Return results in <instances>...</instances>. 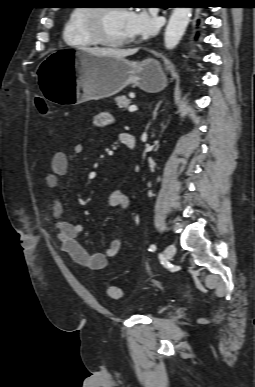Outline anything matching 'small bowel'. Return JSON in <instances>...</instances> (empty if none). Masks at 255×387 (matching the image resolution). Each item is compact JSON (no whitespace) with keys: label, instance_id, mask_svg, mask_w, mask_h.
<instances>
[{"label":"small bowel","instance_id":"1","mask_svg":"<svg viewBox=\"0 0 255 387\" xmlns=\"http://www.w3.org/2000/svg\"><path fill=\"white\" fill-rule=\"evenodd\" d=\"M113 122L114 117L109 113H101L94 118V124L98 127H106ZM83 151V145L76 144L70 153L56 152L51 158L50 172L45 176V183L54 193L52 199L53 227L60 242L61 250L82 267L91 270H102L108 265L109 259L116 256L119 252L122 246V239L120 237L113 239L104 252H88L77 240L84 230L83 225L75 220L63 218L64 205L58 194L60 189L59 177L67 173L69 164L80 156ZM108 203L112 207H128L129 199L122 186H116L109 192Z\"/></svg>","mask_w":255,"mask_h":387}]
</instances>
